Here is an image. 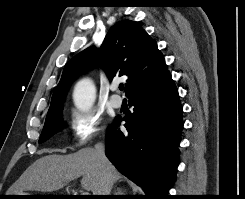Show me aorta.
<instances>
[{
  "instance_id": "obj_1",
  "label": "aorta",
  "mask_w": 245,
  "mask_h": 199,
  "mask_svg": "<svg viewBox=\"0 0 245 199\" xmlns=\"http://www.w3.org/2000/svg\"><path fill=\"white\" fill-rule=\"evenodd\" d=\"M95 86L89 79L79 81L75 87L73 99L76 107L82 111L89 110L95 100Z\"/></svg>"
}]
</instances>
